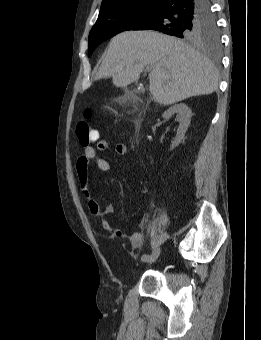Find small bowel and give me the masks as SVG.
Segmentation results:
<instances>
[{
    "mask_svg": "<svg viewBox=\"0 0 261 340\" xmlns=\"http://www.w3.org/2000/svg\"><path fill=\"white\" fill-rule=\"evenodd\" d=\"M96 141H97L96 149L98 151H105L108 148L109 144L107 140H103V139L99 140V137H98ZM96 149L89 145L85 146L83 150V154L76 161V174L78 178L79 188H80V191L83 197L86 200L87 209L91 215H99L101 213V206L97 198L95 197L90 186L89 174H88L89 164L91 161H95L97 167L101 171L109 172L111 170L110 163L106 159L100 157L97 154ZM114 150H115V153L119 156H124L127 153L126 145L123 143H117L115 145ZM101 227L105 231L113 232V234L116 237L128 238L131 243L132 248H136L143 241V238H144L142 231H136V232L131 233L130 235H127L121 230H114L110 222L107 219L101 220Z\"/></svg>",
    "mask_w": 261,
    "mask_h": 340,
    "instance_id": "obj_1",
    "label": "small bowel"
}]
</instances>
